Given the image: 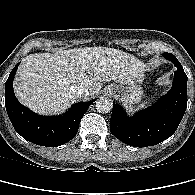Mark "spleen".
Returning <instances> with one entry per match:
<instances>
[{
    "label": "spleen",
    "instance_id": "spleen-1",
    "mask_svg": "<svg viewBox=\"0 0 195 195\" xmlns=\"http://www.w3.org/2000/svg\"><path fill=\"white\" fill-rule=\"evenodd\" d=\"M148 105H149V101H147V102H145V103L139 105V106L137 107V109H143V108L147 107Z\"/></svg>",
    "mask_w": 195,
    "mask_h": 195
}]
</instances>
